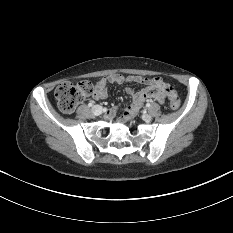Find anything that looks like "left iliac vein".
<instances>
[{
    "label": "left iliac vein",
    "mask_w": 233,
    "mask_h": 233,
    "mask_svg": "<svg viewBox=\"0 0 233 233\" xmlns=\"http://www.w3.org/2000/svg\"><path fill=\"white\" fill-rule=\"evenodd\" d=\"M142 119L146 122H150L152 120V116L149 114H143Z\"/></svg>",
    "instance_id": "left-iliac-vein-1"
}]
</instances>
